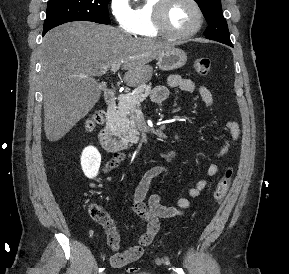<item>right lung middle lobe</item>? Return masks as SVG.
<instances>
[{"instance_id":"dd1d6c3e","label":"right lung middle lobe","mask_w":289,"mask_h":274,"mask_svg":"<svg viewBox=\"0 0 289 274\" xmlns=\"http://www.w3.org/2000/svg\"><path fill=\"white\" fill-rule=\"evenodd\" d=\"M110 0H49L43 34L71 21L110 24L107 5Z\"/></svg>"}]
</instances>
